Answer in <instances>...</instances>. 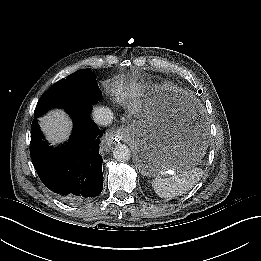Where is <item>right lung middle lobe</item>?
I'll use <instances>...</instances> for the list:
<instances>
[{"label": "right lung middle lobe", "mask_w": 261, "mask_h": 261, "mask_svg": "<svg viewBox=\"0 0 261 261\" xmlns=\"http://www.w3.org/2000/svg\"><path fill=\"white\" fill-rule=\"evenodd\" d=\"M101 91L91 69H81L55 83L37 103L35 116L51 107L70 110L77 105H92L100 100Z\"/></svg>", "instance_id": "obj_1"}]
</instances>
